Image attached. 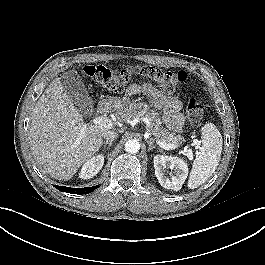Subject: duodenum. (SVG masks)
Listing matches in <instances>:
<instances>
[{
  "mask_svg": "<svg viewBox=\"0 0 265 265\" xmlns=\"http://www.w3.org/2000/svg\"><path fill=\"white\" fill-rule=\"evenodd\" d=\"M110 104H111V102H104L102 104L99 103L97 110L99 112H103L105 109H107L110 106Z\"/></svg>",
  "mask_w": 265,
  "mask_h": 265,
  "instance_id": "410a0bca",
  "label": "duodenum"
}]
</instances>
